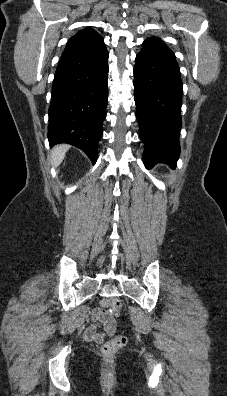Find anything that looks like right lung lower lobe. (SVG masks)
I'll list each match as a JSON object with an SVG mask.
<instances>
[{
	"label": "right lung lower lobe",
	"instance_id": "98d812e1",
	"mask_svg": "<svg viewBox=\"0 0 227 396\" xmlns=\"http://www.w3.org/2000/svg\"><path fill=\"white\" fill-rule=\"evenodd\" d=\"M108 72V52L103 40L65 48L51 92L48 126L51 145H74L96 162L106 117Z\"/></svg>",
	"mask_w": 227,
	"mask_h": 396
}]
</instances>
